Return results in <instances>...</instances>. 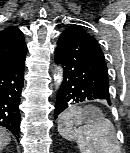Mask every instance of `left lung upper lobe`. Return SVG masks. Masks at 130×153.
I'll return each mask as SVG.
<instances>
[{
  "mask_svg": "<svg viewBox=\"0 0 130 153\" xmlns=\"http://www.w3.org/2000/svg\"><path fill=\"white\" fill-rule=\"evenodd\" d=\"M79 31V32H82V33H85V34H87L83 29H81L80 27H78V26H76V25H73V26H71V27H69V28H67L65 31ZM87 35H89V34H87ZM90 36V35H89ZM90 37H92V36H90ZM93 38V37H92ZM94 39V38H93ZM95 40V39H94Z\"/></svg>",
  "mask_w": 130,
  "mask_h": 153,
  "instance_id": "5c2ea615",
  "label": "left lung upper lobe"
}]
</instances>
